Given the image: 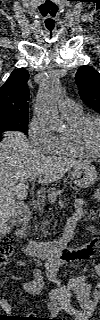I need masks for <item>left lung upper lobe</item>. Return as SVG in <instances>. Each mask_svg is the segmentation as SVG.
<instances>
[{"label":"left lung upper lobe","mask_w":100,"mask_h":320,"mask_svg":"<svg viewBox=\"0 0 100 320\" xmlns=\"http://www.w3.org/2000/svg\"><path fill=\"white\" fill-rule=\"evenodd\" d=\"M81 99L100 113V74L90 66H82L75 75Z\"/></svg>","instance_id":"5c2ea615"}]
</instances>
